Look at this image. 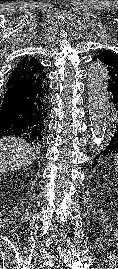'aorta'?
I'll use <instances>...</instances> for the list:
<instances>
[{
	"label": "aorta",
	"mask_w": 118,
	"mask_h": 269,
	"mask_svg": "<svg viewBox=\"0 0 118 269\" xmlns=\"http://www.w3.org/2000/svg\"><path fill=\"white\" fill-rule=\"evenodd\" d=\"M108 75L100 62L91 64L88 71V103L94 143L100 145L107 129Z\"/></svg>",
	"instance_id": "obj_1"
}]
</instances>
